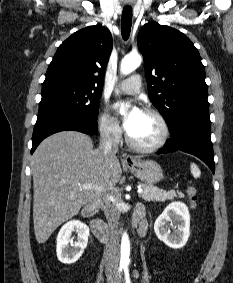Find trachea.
<instances>
[{
	"label": "trachea",
	"mask_w": 233,
	"mask_h": 283,
	"mask_svg": "<svg viewBox=\"0 0 233 283\" xmlns=\"http://www.w3.org/2000/svg\"><path fill=\"white\" fill-rule=\"evenodd\" d=\"M132 25V8L124 7L122 12L121 33L124 40H127L130 35Z\"/></svg>",
	"instance_id": "obj_1"
}]
</instances>
